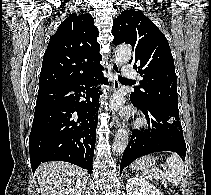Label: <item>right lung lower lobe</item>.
I'll return each mask as SVG.
<instances>
[{
	"mask_svg": "<svg viewBox=\"0 0 211 195\" xmlns=\"http://www.w3.org/2000/svg\"><path fill=\"white\" fill-rule=\"evenodd\" d=\"M103 67L90 76L38 91L29 152L33 173L48 161H66L91 174ZM85 100H82V99Z\"/></svg>",
	"mask_w": 211,
	"mask_h": 195,
	"instance_id": "1",
	"label": "right lung lower lobe"
}]
</instances>
